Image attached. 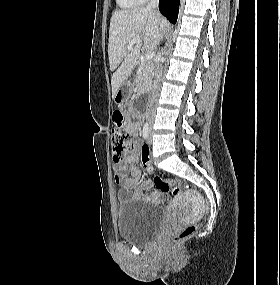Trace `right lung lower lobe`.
I'll list each match as a JSON object with an SVG mask.
<instances>
[{
  "instance_id": "98d812e1",
  "label": "right lung lower lobe",
  "mask_w": 280,
  "mask_h": 285,
  "mask_svg": "<svg viewBox=\"0 0 280 285\" xmlns=\"http://www.w3.org/2000/svg\"><path fill=\"white\" fill-rule=\"evenodd\" d=\"M179 3L180 0H159L160 12L173 24L177 21Z\"/></svg>"
}]
</instances>
